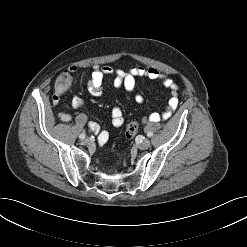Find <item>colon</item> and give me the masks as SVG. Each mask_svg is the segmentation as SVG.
Instances as JSON below:
<instances>
[{"mask_svg": "<svg viewBox=\"0 0 247 247\" xmlns=\"http://www.w3.org/2000/svg\"><path fill=\"white\" fill-rule=\"evenodd\" d=\"M69 84V77L66 74L61 75L57 82H56V88L59 93H62L66 90L67 86ZM139 129V122L132 121L127 124L126 126V136L128 138H133L137 131Z\"/></svg>", "mask_w": 247, "mask_h": 247, "instance_id": "colon-1", "label": "colon"}]
</instances>
